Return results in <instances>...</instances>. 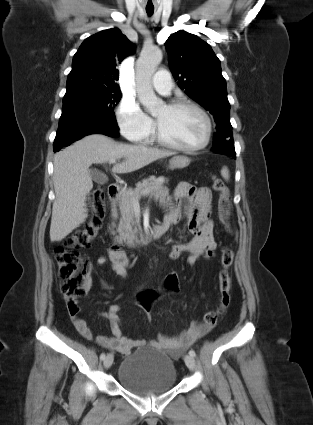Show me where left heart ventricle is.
<instances>
[{
    "instance_id": "b2bd125f",
    "label": "left heart ventricle",
    "mask_w": 313,
    "mask_h": 425,
    "mask_svg": "<svg viewBox=\"0 0 313 425\" xmlns=\"http://www.w3.org/2000/svg\"><path fill=\"white\" fill-rule=\"evenodd\" d=\"M158 128L165 139L184 147H194L205 136V122L195 110L168 109L166 106L155 113Z\"/></svg>"
}]
</instances>
